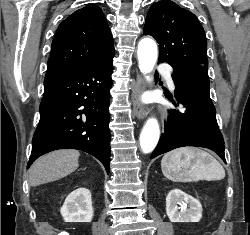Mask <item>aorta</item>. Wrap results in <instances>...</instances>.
Returning <instances> with one entry per match:
<instances>
[{"label":"aorta","mask_w":250,"mask_h":235,"mask_svg":"<svg viewBox=\"0 0 250 235\" xmlns=\"http://www.w3.org/2000/svg\"><path fill=\"white\" fill-rule=\"evenodd\" d=\"M157 45L150 38L142 39L138 44L139 67L143 74L150 73L157 61ZM151 80L150 76H146ZM160 136L159 124L156 119H149L140 134V146L144 153H150L156 147Z\"/></svg>","instance_id":"aorta-1"}]
</instances>
